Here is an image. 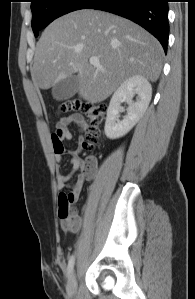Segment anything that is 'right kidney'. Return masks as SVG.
I'll return each instance as SVG.
<instances>
[{"label": "right kidney", "mask_w": 195, "mask_h": 299, "mask_svg": "<svg viewBox=\"0 0 195 299\" xmlns=\"http://www.w3.org/2000/svg\"><path fill=\"white\" fill-rule=\"evenodd\" d=\"M137 95L136 101H133ZM152 87L149 81L135 75L124 81L113 94L105 122V135L109 139H117L127 134L140 120L151 101ZM123 102L128 103L127 115L122 121L119 120V112Z\"/></svg>", "instance_id": "ca27d5eb"}]
</instances>
